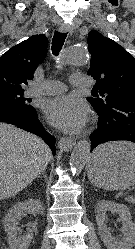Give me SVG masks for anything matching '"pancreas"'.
I'll return each mask as SVG.
<instances>
[{"instance_id":"obj_1","label":"pancreas","mask_w":135,"mask_h":249,"mask_svg":"<svg viewBox=\"0 0 135 249\" xmlns=\"http://www.w3.org/2000/svg\"><path fill=\"white\" fill-rule=\"evenodd\" d=\"M128 202H130V203H135V198H133V197H129V198H127L126 199Z\"/></svg>"}]
</instances>
